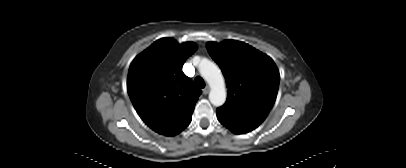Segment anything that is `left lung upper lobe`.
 <instances>
[{
  "instance_id": "1",
  "label": "left lung upper lobe",
  "mask_w": 406,
  "mask_h": 168,
  "mask_svg": "<svg viewBox=\"0 0 406 168\" xmlns=\"http://www.w3.org/2000/svg\"><path fill=\"white\" fill-rule=\"evenodd\" d=\"M207 50L220 66L228 87L227 101L220 108L264 121L274 105L280 81L274 61L235 40L208 42Z\"/></svg>"
}]
</instances>
